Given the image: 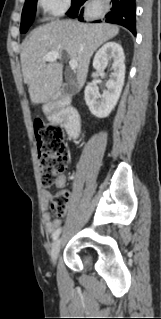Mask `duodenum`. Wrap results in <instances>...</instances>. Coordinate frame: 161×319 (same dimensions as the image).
<instances>
[{"instance_id": "410a0bca", "label": "duodenum", "mask_w": 161, "mask_h": 319, "mask_svg": "<svg viewBox=\"0 0 161 319\" xmlns=\"http://www.w3.org/2000/svg\"><path fill=\"white\" fill-rule=\"evenodd\" d=\"M44 113L50 121L63 124L70 138L78 137L81 129V119L78 110L70 105L66 95H57L47 104Z\"/></svg>"}]
</instances>
